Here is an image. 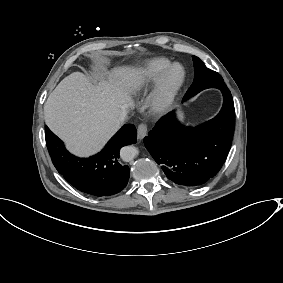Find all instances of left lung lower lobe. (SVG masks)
<instances>
[{"instance_id": "1", "label": "left lung lower lobe", "mask_w": 283, "mask_h": 283, "mask_svg": "<svg viewBox=\"0 0 283 283\" xmlns=\"http://www.w3.org/2000/svg\"><path fill=\"white\" fill-rule=\"evenodd\" d=\"M221 90L219 114L195 128L183 126L175 112L163 116L144 138L154 160L172 182L193 187L206 183L221 169L231 147L235 109L230 90ZM193 96V95H192ZM191 96H184L183 101Z\"/></svg>"}]
</instances>
